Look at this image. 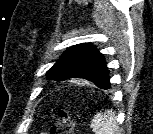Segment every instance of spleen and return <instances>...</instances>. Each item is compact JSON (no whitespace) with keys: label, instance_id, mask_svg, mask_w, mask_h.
Here are the masks:
<instances>
[{"label":"spleen","instance_id":"obj_1","mask_svg":"<svg viewBox=\"0 0 153 134\" xmlns=\"http://www.w3.org/2000/svg\"><path fill=\"white\" fill-rule=\"evenodd\" d=\"M90 127L95 134H117L119 127L115 112L112 109L104 113L98 112L93 117Z\"/></svg>","mask_w":153,"mask_h":134}]
</instances>
